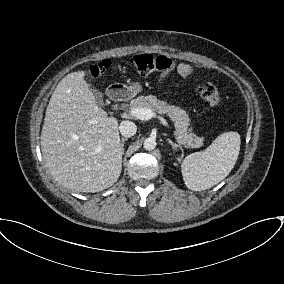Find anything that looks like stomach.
Wrapping results in <instances>:
<instances>
[{"instance_id":"obj_1","label":"stomach","mask_w":284,"mask_h":284,"mask_svg":"<svg viewBox=\"0 0 284 284\" xmlns=\"http://www.w3.org/2000/svg\"><path fill=\"white\" fill-rule=\"evenodd\" d=\"M114 88H125L128 93L132 96L142 91V85L139 82H133L129 86L121 85V84H114Z\"/></svg>"}]
</instances>
